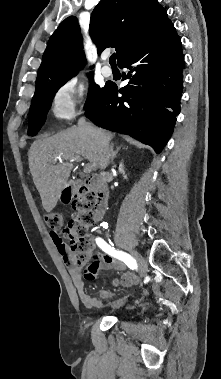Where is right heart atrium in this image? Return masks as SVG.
<instances>
[{
  "label": "right heart atrium",
  "mask_w": 221,
  "mask_h": 379,
  "mask_svg": "<svg viewBox=\"0 0 221 379\" xmlns=\"http://www.w3.org/2000/svg\"><path fill=\"white\" fill-rule=\"evenodd\" d=\"M87 103V87L76 78L63 81L51 96V109L54 116L62 121L74 118Z\"/></svg>",
  "instance_id": "right-heart-atrium-1"
}]
</instances>
